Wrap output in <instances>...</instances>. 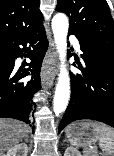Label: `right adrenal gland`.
<instances>
[{"label":"right adrenal gland","mask_w":114,"mask_h":156,"mask_svg":"<svg viewBox=\"0 0 114 156\" xmlns=\"http://www.w3.org/2000/svg\"><path fill=\"white\" fill-rule=\"evenodd\" d=\"M25 141H26V142H29V139H28V138H26V139H25Z\"/></svg>","instance_id":"obj_1"}]
</instances>
